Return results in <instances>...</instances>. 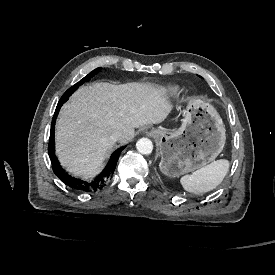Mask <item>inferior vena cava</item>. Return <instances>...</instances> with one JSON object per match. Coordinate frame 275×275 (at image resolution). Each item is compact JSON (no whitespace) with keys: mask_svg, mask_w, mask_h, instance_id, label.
I'll list each match as a JSON object with an SVG mask.
<instances>
[{"mask_svg":"<svg viewBox=\"0 0 275 275\" xmlns=\"http://www.w3.org/2000/svg\"><path fill=\"white\" fill-rule=\"evenodd\" d=\"M121 136H122V131L118 130L112 133L109 138L111 141H118Z\"/></svg>","mask_w":275,"mask_h":275,"instance_id":"602c4592","label":"inferior vena cava"}]
</instances>
